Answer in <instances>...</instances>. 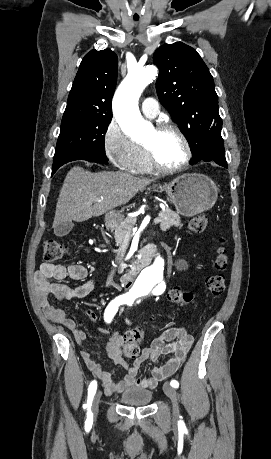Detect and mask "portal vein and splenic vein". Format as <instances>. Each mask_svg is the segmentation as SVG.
Instances as JSON below:
<instances>
[{
    "label": "portal vein and splenic vein",
    "mask_w": 271,
    "mask_h": 459,
    "mask_svg": "<svg viewBox=\"0 0 271 459\" xmlns=\"http://www.w3.org/2000/svg\"><path fill=\"white\" fill-rule=\"evenodd\" d=\"M157 221L155 222L156 224H160L161 220L159 218L156 219Z\"/></svg>",
    "instance_id": "obj_1"
}]
</instances>
